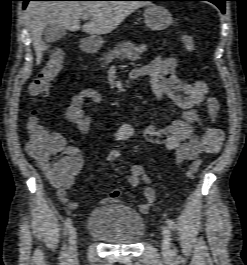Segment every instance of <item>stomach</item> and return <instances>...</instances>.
<instances>
[{"label": "stomach", "mask_w": 247, "mask_h": 265, "mask_svg": "<svg viewBox=\"0 0 247 265\" xmlns=\"http://www.w3.org/2000/svg\"><path fill=\"white\" fill-rule=\"evenodd\" d=\"M144 19L151 30H164L173 23L171 13L163 6L152 4L144 11Z\"/></svg>", "instance_id": "stomach-1"}]
</instances>
